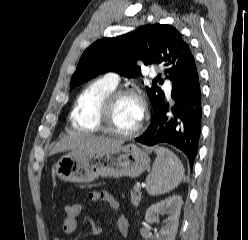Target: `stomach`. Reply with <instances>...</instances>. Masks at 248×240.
Listing matches in <instances>:
<instances>
[{"label":"stomach","instance_id":"1","mask_svg":"<svg viewBox=\"0 0 248 240\" xmlns=\"http://www.w3.org/2000/svg\"><path fill=\"white\" fill-rule=\"evenodd\" d=\"M150 165L148 154L135 144L109 150L63 155L55 165L56 176L68 182L90 183L99 176L138 177Z\"/></svg>","mask_w":248,"mask_h":240}]
</instances>
